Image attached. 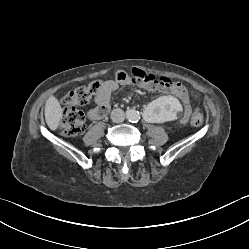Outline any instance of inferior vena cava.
<instances>
[{
	"label": "inferior vena cava",
	"instance_id": "602c4592",
	"mask_svg": "<svg viewBox=\"0 0 249 249\" xmlns=\"http://www.w3.org/2000/svg\"><path fill=\"white\" fill-rule=\"evenodd\" d=\"M111 119L115 123H121L125 119V113L122 109L116 108L111 112Z\"/></svg>",
	"mask_w": 249,
	"mask_h": 249
}]
</instances>
